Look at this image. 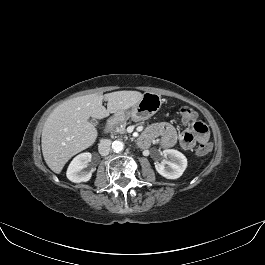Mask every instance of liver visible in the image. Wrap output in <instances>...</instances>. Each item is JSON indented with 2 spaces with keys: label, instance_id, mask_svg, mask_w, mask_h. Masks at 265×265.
I'll return each mask as SVG.
<instances>
[{
  "label": "liver",
  "instance_id": "6515ba94",
  "mask_svg": "<svg viewBox=\"0 0 265 265\" xmlns=\"http://www.w3.org/2000/svg\"><path fill=\"white\" fill-rule=\"evenodd\" d=\"M143 94L138 91H116L89 94L65 101L47 118L41 137L44 160L59 174L66 162L93 145L98 131L89 118L103 119L110 113L126 110L138 103ZM108 101L107 109L102 105Z\"/></svg>",
  "mask_w": 265,
  "mask_h": 265
}]
</instances>
